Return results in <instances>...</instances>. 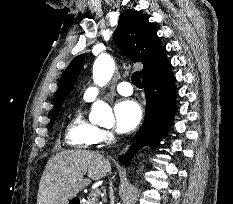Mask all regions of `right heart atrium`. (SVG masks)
<instances>
[{
  "instance_id": "right-heart-atrium-1",
  "label": "right heart atrium",
  "mask_w": 233,
  "mask_h": 204,
  "mask_svg": "<svg viewBox=\"0 0 233 204\" xmlns=\"http://www.w3.org/2000/svg\"><path fill=\"white\" fill-rule=\"evenodd\" d=\"M114 139L113 132L109 130L100 129L98 134V142H109Z\"/></svg>"
}]
</instances>
